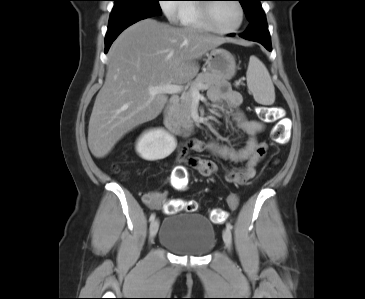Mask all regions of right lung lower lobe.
Here are the masks:
<instances>
[{"label": "right lung lower lobe", "mask_w": 365, "mask_h": 299, "mask_svg": "<svg viewBox=\"0 0 365 299\" xmlns=\"http://www.w3.org/2000/svg\"><path fill=\"white\" fill-rule=\"evenodd\" d=\"M159 14L156 13H136L128 14L123 17L110 19L108 31L105 37V53L108 52L111 44L117 38V36L127 27L136 23L139 20L146 19Z\"/></svg>", "instance_id": "obj_1"}]
</instances>
